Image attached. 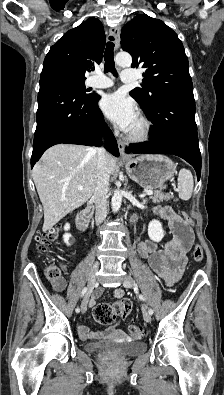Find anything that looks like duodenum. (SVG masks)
<instances>
[{"label":"duodenum","instance_id":"410a0bca","mask_svg":"<svg viewBox=\"0 0 224 395\" xmlns=\"http://www.w3.org/2000/svg\"><path fill=\"white\" fill-rule=\"evenodd\" d=\"M91 212H92V207L87 206L86 208H84L78 213L76 217V226L79 231L81 232L86 231Z\"/></svg>","mask_w":224,"mask_h":395}]
</instances>
